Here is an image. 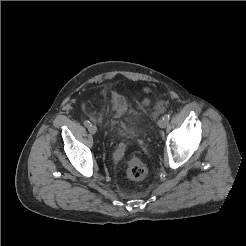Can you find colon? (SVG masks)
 <instances>
[{
  "label": "colon",
  "instance_id": "colon-1",
  "mask_svg": "<svg viewBox=\"0 0 246 246\" xmlns=\"http://www.w3.org/2000/svg\"><path fill=\"white\" fill-rule=\"evenodd\" d=\"M149 105L148 98H143L139 101L138 106L140 108H145ZM147 175V168L145 164L138 159L137 157H133L128 162L127 166V177L133 181L143 180Z\"/></svg>",
  "mask_w": 246,
  "mask_h": 246
}]
</instances>
